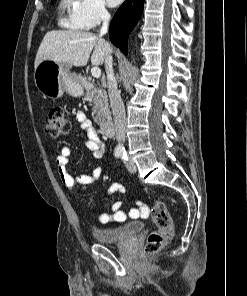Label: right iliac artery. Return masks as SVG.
Listing matches in <instances>:
<instances>
[{"label":"right iliac artery","instance_id":"1","mask_svg":"<svg viewBox=\"0 0 247 296\" xmlns=\"http://www.w3.org/2000/svg\"><path fill=\"white\" fill-rule=\"evenodd\" d=\"M122 155H123V153L120 152V151H116V152H115V157H117V158H119V157L122 156Z\"/></svg>","mask_w":247,"mask_h":296}]
</instances>
